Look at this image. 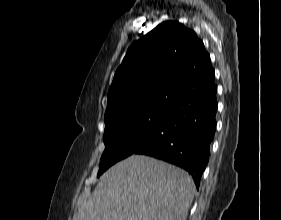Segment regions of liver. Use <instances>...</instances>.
Wrapping results in <instances>:
<instances>
[{"mask_svg":"<svg viewBox=\"0 0 281 220\" xmlns=\"http://www.w3.org/2000/svg\"><path fill=\"white\" fill-rule=\"evenodd\" d=\"M194 192L183 169L132 155L102 175L73 220H186Z\"/></svg>","mask_w":281,"mask_h":220,"instance_id":"1","label":"liver"}]
</instances>
